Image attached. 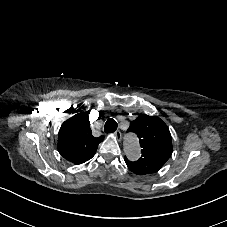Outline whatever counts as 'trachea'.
<instances>
[{"mask_svg": "<svg viewBox=\"0 0 227 227\" xmlns=\"http://www.w3.org/2000/svg\"><path fill=\"white\" fill-rule=\"evenodd\" d=\"M117 129V122L114 119H108L105 123L104 130L106 133H113Z\"/></svg>", "mask_w": 227, "mask_h": 227, "instance_id": "trachea-1", "label": "trachea"}]
</instances>
